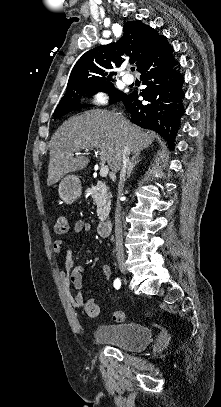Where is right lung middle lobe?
Segmentation results:
<instances>
[{
  "label": "right lung middle lobe",
  "mask_w": 221,
  "mask_h": 407,
  "mask_svg": "<svg viewBox=\"0 0 221 407\" xmlns=\"http://www.w3.org/2000/svg\"><path fill=\"white\" fill-rule=\"evenodd\" d=\"M106 92L109 94L111 103L119 101L125 94L120 92L119 90H115L113 88V83L107 82L97 86H93L90 88H84L79 90H74L70 92H66L63 98L60 100L53 116L54 117H61L66 115L67 113L73 111L74 109H79L82 107L91 106L89 104L81 105L79 104L80 98L84 94H92L95 92Z\"/></svg>",
  "instance_id": "1"
}]
</instances>
